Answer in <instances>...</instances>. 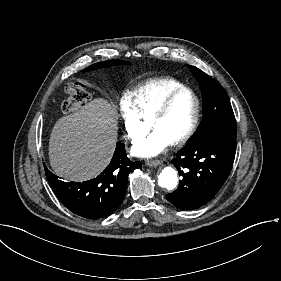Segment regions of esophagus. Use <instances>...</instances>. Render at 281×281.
<instances>
[{"mask_svg":"<svg viewBox=\"0 0 281 281\" xmlns=\"http://www.w3.org/2000/svg\"><path fill=\"white\" fill-rule=\"evenodd\" d=\"M162 162L160 160H150L147 162L148 166L155 167L160 165Z\"/></svg>","mask_w":281,"mask_h":281,"instance_id":"34e87169","label":"esophagus"}]
</instances>
